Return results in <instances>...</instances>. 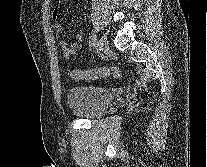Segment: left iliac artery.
<instances>
[{
  "label": "left iliac artery",
  "mask_w": 207,
  "mask_h": 167,
  "mask_svg": "<svg viewBox=\"0 0 207 167\" xmlns=\"http://www.w3.org/2000/svg\"><path fill=\"white\" fill-rule=\"evenodd\" d=\"M96 42H97V36L93 33L89 41L90 47H93L96 44Z\"/></svg>",
  "instance_id": "obj_1"
}]
</instances>
